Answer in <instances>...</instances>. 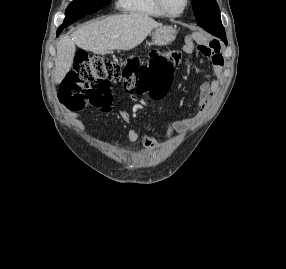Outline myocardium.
Segmentation results:
<instances>
[{
	"label": "myocardium",
	"mask_w": 286,
	"mask_h": 269,
	"mask_svg": "<svg viewBox=\"0 0 286 269\" xmlns=\"http://www.w3.org/2000/svg\"><path fill=\"white\" fill-rule=\"evenodd\" d=\"M156 1V5L159 8V10L167 17L170 18H178L181 17L187 10L188 6H189V0H184V6L183 9L179 12V13H173L171 12L165 4V0H155Z\"/></svg>",
	"instance_id": "obj_1"
}]
</instances>
